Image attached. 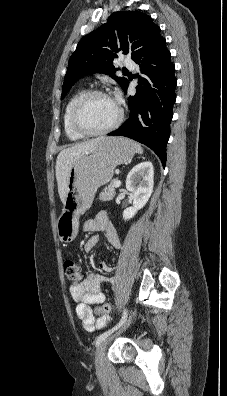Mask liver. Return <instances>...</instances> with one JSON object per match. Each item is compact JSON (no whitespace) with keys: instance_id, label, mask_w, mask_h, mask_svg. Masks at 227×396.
<instances>
[{"instance_id":"obj_1","label":"liver","mask_w":227,"mask_h":396,"mask_svg":"<svg viewBox=\"0 0 227 396\" xmlns=\"http://www.w3.org/2000/svg\"><path fill=\"white\" fill-rule=\"evenodd\" d=\"M105 137H99L79 144H75L69 148L62 150L56 160V180L58 185V193L62 203H65L67 193V182L71 166L85 153L91 150L96 144Z\"/></svg>"}]
</instances>
